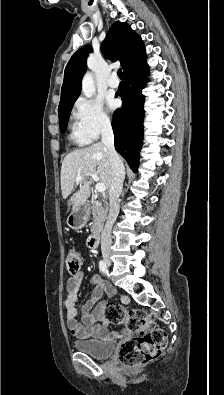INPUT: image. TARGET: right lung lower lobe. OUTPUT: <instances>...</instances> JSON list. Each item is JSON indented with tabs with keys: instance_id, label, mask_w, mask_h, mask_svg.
I'll use <instances>...</instances> for the list:
<instances>
[{
	"instance_id": "obj_1",
	"label": "right lung lower lobe",
	"mask_w": 224,
	"mask_h": 395,
	"mask_svg": "<svg viewBox=\"0 0 224 395\" xmlns=\"http://www.w3.org/2000/svg\"><path fill=\"white\" fill-rule=\"evenodd\" d=\"M147 73L145 53L124 70L125 82L120 84L116 93L122 99V107L114 112L112 121L115 149L135 172L143 139L145 97L142 89L147 83Z\"/></svg>"
}]
</instances>
